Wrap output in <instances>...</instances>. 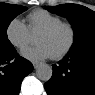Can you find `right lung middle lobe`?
I'll return each instance as SVG.
<instances>
[{
	"label": "right lung middle lobe",
	"instance_id": "dd1d6c3e",
	"mask_svg": "<svg viewBox=\"0 0 95 95\" xmlns=\"http://www.w3.org/2000/svg\"><path fill=\"white\" fill-rule=\"evenodd\" d=\"M24 6L0 3V51L12 48L13 45L7 39V27L18 14L25 11Z\"/></svg>",
	"mask_w": 95,
	"mask_h": 95
}]
</instances>
